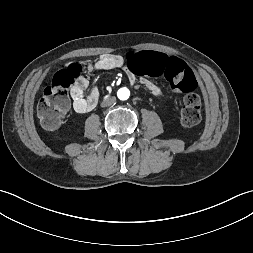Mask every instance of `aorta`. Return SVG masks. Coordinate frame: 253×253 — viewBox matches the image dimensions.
Here are the masks:
<instances>
[{
	"label": "aorta",
	"mask_w": 253,
	"mask_h": 253,
	"mask_svg": "<svg viewBox=\"0 0 253 253\" xmlns=\"http://www.w3.org/2000/svg\"><path fill=\"white\" fill-rule=\"evenodd\" d=\"M117 95L119 99L126 100L129 98L130 92L127 88H121L119 89Z\"/></svg>",
	"instance_id": "762f6f07"
}]
</instances>
